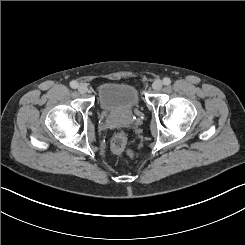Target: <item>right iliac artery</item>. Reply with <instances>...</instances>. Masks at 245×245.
<instances>
[{"label":"right iliac artery","instance_id":"1","mask_svg":"<svg viewBox=\"0 0 245 245\" xmlns=\"http://www.w3.org/2000/svg\"><path fill=\"white\" fill-rule=\"evenodd\" d=\"M70 86L71 88L76 89L78 87V83L76 81H71Z\"/></svg>","mask_w":245,"mask_h":245}]
</instances>
